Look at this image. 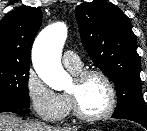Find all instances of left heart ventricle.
Wrapping results in <instances>:
<instances>
[{"instance_id": "obj_1", "label": "left heart ventricle", "mask_w": 147, "mask_h": 131, "mask_svg": "<svg viewBox=\"0 0 147 131\" xmlns=\"http://www.w3.org/2000/svg\"><path fill=\"white\" fill-rule=\"evenodd\" d=\"M68 91L76 95L81 110L88 115L103 112L109 102L106 84L97 76L89 77L81 83L73 79Z\"/></svg>"}]
</instances>
